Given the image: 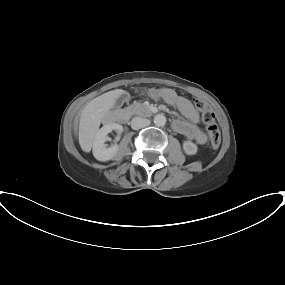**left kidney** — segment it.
I'll list each match as a JSON object with an SVG mask.
<instances>
[{"instance_id": "left-kidney-1", "label": "left kidney", "mask_w": 285, "mask_h": 285, "mask_svg": "<svg viewBox=\"0 0 285 285\" xmlns=\"http://www.w3.org/2000/svg\"><path fill=\"white\" fill-rule=\"evenodd\" d=\"M197 145L192 141L183 142V150L187 155H194L197 153Z\"/></svg>"}]
</instances>
